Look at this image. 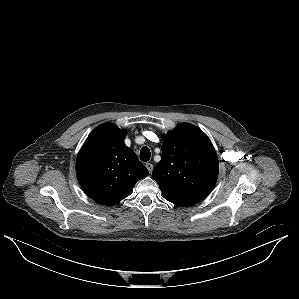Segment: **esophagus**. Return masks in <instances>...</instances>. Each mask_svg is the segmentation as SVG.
<instances>
[{"label":"esophagus","mask_w":299,"mask_h":299,"mask_svg":"<svg viewBox=\"0 0 299 299\" xmlns=\"http://www.w3.org/2000/svg\"><path fill=\"white\" fill-rule=\"evenodd\" d=\"M145 166H146V168L148 169L149 173H151L152 170H153V164L147 162V163L145 164Z\"/></svg>","instance_id":"esophagus-1"}]
</instances>
